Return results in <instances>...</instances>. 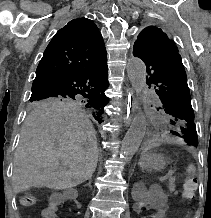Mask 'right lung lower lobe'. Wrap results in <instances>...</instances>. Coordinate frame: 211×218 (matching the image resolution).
Listing matches in <instances>:
<instances>
[{"instance_id":"1","label":"right lung lower lobe","mask_w":211,"mask_h":218,"mask_svg":"<svg viewBox=\"0 0 211 218\" xmlns=\"http://www.w3.org/2000/svg\"><path fill=\"white\" fill-rule=\"evenodd\" d=\"M108 87L107 59L81 72L58 78L32 91L30 99L36 97H69L82 95L89 97H104Z\"/></svg>"}]
</instances>
